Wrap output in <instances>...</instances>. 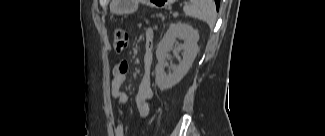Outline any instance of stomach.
Segmentation results:
<instances>
[{"instance_id":"stomach-1","label":"stomach","mask_w":325,"mask_h":136,"mask_svg":"<svg viewBox=\"0 0 325 136\" xmlns=\"http://www.w3.org/2000/svg\"><path fill=\"white\" fill-rule=\"evenodd\" d=\"M148 5L155 8H167L174 0H146ZM138 0H113L112 11L117 14H130L133 13L138 6Z\"/></svg>"}]
</instances>
